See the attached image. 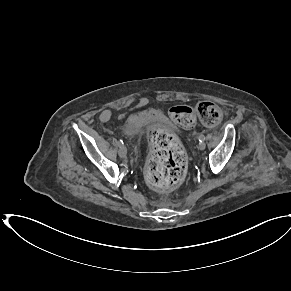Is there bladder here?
Returning a JSON list of instances; mask_svg holds the SVG:
<instances>
[{"mask_svg":"<svg viewBox=\"0 0 291 291\" xmlns=\"http://www.w3.org/2000/svg\"><path fill=\"white\" fill-rule=\"evenodd\" d=\"M148 118L145 116L128 117L124 122V132L127 135L143 134L148 126Z\"/></svg>","mask_w":291,"mask_h":291,"instance_id":"obj_1","label":"bladder"}]
</instances>
